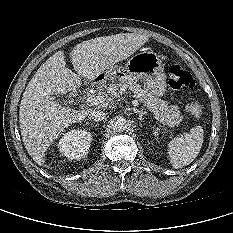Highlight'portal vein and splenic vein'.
I'll use <instances>...</instances> for the list:
<instances>
[{
    "label": "portal vein and splenic vein",
    "instance_id": "portal-vein-and-splenic-vein-1",
    "mask_svg": "<svg viewBox=\"0 0 233 233\" xmlns=\"http://www.w3.org/2000/svg\"><path fill=\"white\" fill-rule=\"evenodd\" d=\"M103 102H104V96L100 94L91 95L90 97L87 98V103L90 105H100ZM132 104L134 106H137L139 105V102L137 100H133Z\"/></svg>",
    "mask_w": 233,
    "mask_h": 233
}]
</instances>
